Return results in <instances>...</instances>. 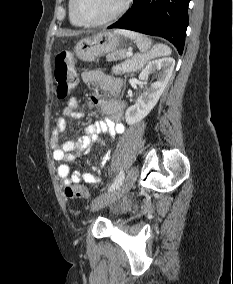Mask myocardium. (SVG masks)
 I'll use <instances>...</instances> for the list:
<instances>
[{
  "label": "myocardium",
  "mask_w": 233,
  "mask_h": 284,
  "mask_svg": "<svg viewBox=\"0 0 233 284\" xmlns=\"http://www.w3.org/2000/svg\"><path fill=\"white\" fill-rule=\"evenodd\" d=\"M80 2L81 0H74V14L82 24L87 26H101L115 21L116 19H118L123 15V13L127 10L129 5V0H122V3L118 8V10L109 17L102 20H89L82 15L80 10Z\"/></svg>",
  "instance_id": "1"
}]
</instances>
